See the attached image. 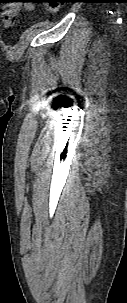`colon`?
<instances>
[{
    "label": "colon",
    "mask_w": 127,
    "mask_h": 303,
    "mask_svg": "<svg viewBox=\"0 0 127 303\" xmlns=\"http://www.w3.org/2000/svg\"><path fill=\"white\" fill-rule=\"evenodd\" d=\"M49 9L52 13H56L59 10V3L57 2V0H49Z\"/></svg>",
    "instance_id": "5ec220e1"
}]
</instances>
